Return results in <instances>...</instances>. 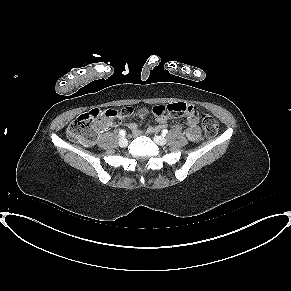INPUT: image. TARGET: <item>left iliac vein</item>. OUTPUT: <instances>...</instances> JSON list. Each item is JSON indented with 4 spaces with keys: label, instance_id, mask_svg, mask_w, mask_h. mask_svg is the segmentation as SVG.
<instances>
[{
    "label": "left iliac vein",
    "instance_id": "4c4485c4",
    "mask_svg": "<svg viewBox=\"0 0 291 291\" xmlns=\"http://www.w3.org/2000/svg\"><path fill=\"white\" fill-rule=\"evenodd\" d=\"M154 141L161 146L165 145L167 142L166 138H164L162 136H155Z\"/></svg>",
    "mask_w": 291,
    "mask_h": 291
}]
</instances>
